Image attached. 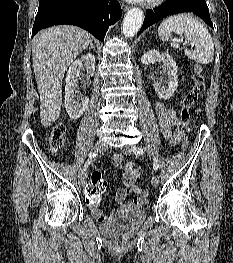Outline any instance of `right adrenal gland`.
I'll list each match as a JSON object with an SVG mask.
<instances>
[{"label":"right adrenal gland","mask_w":233,"mask_h":263,"mask_svg":"<svg viewBox=\"0 0 233 263\" xmlns=\"http://www.w3.org/2000/svg\"><path fill=\"white\" fill-rule=\"evenodd\" d=\"M93 48L95 50V46L93 45L92 41L90 42V49Z\"/></svg>","instance_id":"1"}]
</instances>
